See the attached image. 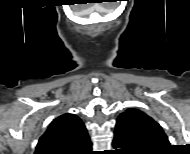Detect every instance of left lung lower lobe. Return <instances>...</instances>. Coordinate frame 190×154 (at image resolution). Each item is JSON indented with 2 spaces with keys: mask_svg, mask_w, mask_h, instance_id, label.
<instances>
[{
  "mask_svg": "<svg viewBox=\"0 0 190 154\" xmlns=\"http://www.w3.org/2000/svg\"><path fill=\"white\" fill-rule=\"evenodd\" d=\"M114 148L122 154H150L155 151L153 147L141 142L131 131L126 121L117 120L113 139Z\"/></svg>",
  "mask_w": 190,
  "mask_h": 154,
  "instance_id": "obj_1",
  "label": "left lung lower lobe"
}]
</instances>
